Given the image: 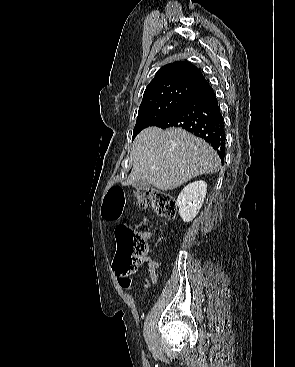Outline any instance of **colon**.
<instances>
[{
  "mask_svg": "<svg viewBox=\"0 0 295 367\" xmlns=\"http://www.w3.org/2000/svg\"><path fill=\"white\" fill-rule=\"evenodd\" d=\"M125 192L120 186L109 189L103 208L104 218L118 220L125 206ZM137 202L141 208H152L159 216L174 218L176 202L174 198L158 189H149L137 194ZM117 250L114 258V269L119 275H128L145 260L148 251L147 243L142 235L121 223L115 231Z\"/></svg>",
  "mask_w": 295,
  "mask_h": 367,
  "instance_id": "obj_1",
  "label": "colon"
}]
</instances>
